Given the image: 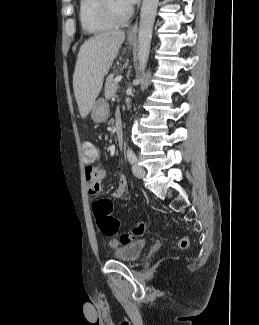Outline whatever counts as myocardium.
<instances>
[{"mask_svg":"<svg viewBox=\"0 0 259 325\" xmlns=\"http://www.w3.org/2000/svg\"><path fill=\"white\" fill-rule=\"evenodd\" d=\"M98 10L102 18L113 24L126 21L133 13V9L129 6L124 12H118L114 7L113 0H99Z\"/></svg>","mask_w":259,"mask_h":325,"instance_id":"myocardium-1","label":"myocardium"}]
</instances>
